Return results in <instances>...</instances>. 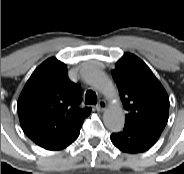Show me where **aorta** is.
Segmentation results:
<instances>
[{
  "label": "aorta",
  "instance_id": "762f6f07",
  "mask_svg": "<svg viewBox=\"0 0 184 174\" xmlns=\"http://www.w3.org/2000/svg\"><path fill=\"white\" fill-rule=\"evenodd\" d=\"M89 83L103 92L110 100H115L104 112L103 121L110 131L119 132L124 127L125 116L122 106L118 103V91L106 74L99 69H92L88 75Z\"/></svg>",
  "mask_w": 184,
  "mask_h": 174
}]
</instances>
